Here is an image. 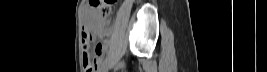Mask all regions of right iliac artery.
<instances>
[{"instance_id":"right-iliac-artery-1","label":"right iliac artery","mask_w":267,"mask_h":72,"mask_svg":"<svg viewBox=\"0 0 267 72\" xmlns=\"http://www.w3.org/2000/svg\"><path fill=\"white\" fill-rule=\"evenodd\" d=\"M107 58L102 62L101 66L103 67L107 63Z\"/></svg>"}]
</instances>
